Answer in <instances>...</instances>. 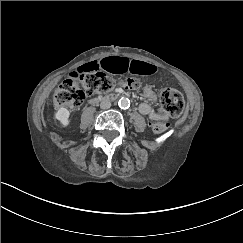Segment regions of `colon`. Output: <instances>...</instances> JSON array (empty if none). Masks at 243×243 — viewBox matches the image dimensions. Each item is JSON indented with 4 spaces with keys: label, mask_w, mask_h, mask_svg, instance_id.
I'll return each mask as SVG.
<instances>
[{
    "label": "colon",
    "mask_w": 243,
    "mask_h": 243,
    "mask_svg": "<svg viewBox=\"0 0 243 243\" xmlns=\"http://www.w3.org/2000/svg\"><path fill=\"white\" fill-rule=\"evenodd\" d=\"M129 90H136L140 82L135 78H129L121 83ZM115 87L113 79L100 72L73 73L70 78L64 80L53 96L54 106L57 108L66 107L78 108L84 101L86 95H105ZM160 102L163 108L172 117L182 114L185 102L181 93L174 88H167L161 92ZM169 128L167 121H155L152 130L156 134L165 132Z\"/></svg>",
    "instance_id": "colon-1"
}]
</instances>
